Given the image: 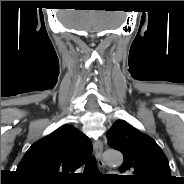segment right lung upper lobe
<instances>
[{
    "label": "right lung upper lobe",
    "instance_id": "cb5924a9",
    "mask_svg": "<svg viewBox=\"0 0 184 184\" xmlns=\"http://www.w3.org/2000/svg\"><path fill=\"white\" fill-rule=\"evenodd\" d=\"M91 151L92 143L86 135L71 125H63L35 142L16 171L29 182L68 183Z\"/></svg>",
    "mask_w": 184,
    "mask_h": 184
}]
</instances>
